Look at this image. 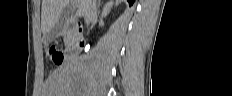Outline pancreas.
Returning a JSON list of instances; mask_svg holds the SVG:
<instances>
[{
    "label": "pancreas",
    "mask_w": 232,
    "mask_h": 96,
    "mask_svg": "<svg viewBox=\"0 0 232 96\" xmlns=\"http://www.w3.org/2000/svg\"><path fill=\"white\" fill-rule=\"evenodd\" d=\"M64 43H65V46L66 47H70V46H73L75 41L73 38L69 37V36H65L64 38Z\"/></svg>",
    "instance_id": "1"
}]
</instances>
